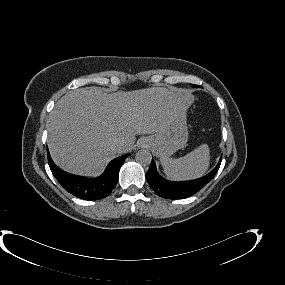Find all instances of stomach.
<instances>
[{
	"mask_svg": "<svg viewBox=\"0 0 285 285\" xmlns=\"http://www.w3.org/2000/svg\"><path fill=\"white\" fill-rule=\"evenodd\" d=\"M187 141V110L179 112L165 128L143 140L160 158L170 157L177 150L184 148Z\"/></svg>",
	"mask_w": 285,
	"mask_h": 285,
	"instance_id": "0dacf381",
	"label": "stomach"
}]
</instances>
